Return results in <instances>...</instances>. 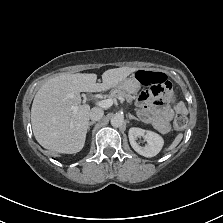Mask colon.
<instances>
[{
	"label": "colon",
	"mask_w": 223,
	"mask_h": 223,
	"mask_svg": "<svg viewBox=\"0 0 223 223\" xmlns=\"http://www.w3.org/2000/svg\"><path fill=\"white\" fill-rule=\"evenodd\" d=\"M137 80L146 86L162 85L169 83L166 75L159 72L138 71ZM187 126V117L184 113L178 112L174 118V127L177 131H182Z\"/></svg>",
	"instance_id": "colon-1"
}]
</instances>
